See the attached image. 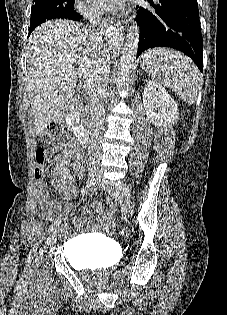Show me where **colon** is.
<instances>
[{
	"instance_id": "1",
	"label": "colon",
	"mask_w": 227,
	"mask_h": 315,
	"mask_svg": "<svg viewBox=\"0 0 227 315\" xmlns=\"http://www.w3.org/2000/svg\"><path fill=\"white\" fill-rule=\"evenodd\" d=\"M68 139L69 132L64 124L54 123L47 127L46 131L41 137L42 147L39 148L36 152V161L38 163V166L35 169L36 179L41 180L45 178V176L49 172L47 164L50 161V153L62 151ZM108 229L111 232L118 231V220L110 219Z\"/></svg>"
}]
</instances>
